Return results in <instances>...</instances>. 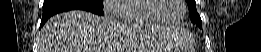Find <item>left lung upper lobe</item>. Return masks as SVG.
I'll list each match as a JSON object with an SVG mask.
<instances>
[{"label":"left lung upper lobe","instance_id":"5c2ea615","mask_svg":"<svg viewBox=\"0 0 261 52\" xmlns=\"http://www.w3.org/2000/svg\"><path fill=\"white\" fill-rule=\"evenodd\" d=\"M186 2L188 4L191 21L202 28V21L199 14L197 13L195 0H186Z\"/></svg>","mask_w":261,"mask_h":52}]
</instances>
